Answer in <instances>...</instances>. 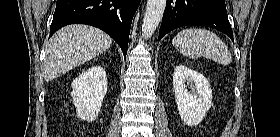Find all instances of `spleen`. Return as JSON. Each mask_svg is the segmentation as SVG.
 <instances>
[{
  "instance_id": "1",
  "label": "spleen",
  "mask_w": 280,
  "mask_h": 137,
  "mask_svg": "<svg viewBox=\"0 0 280 137\" xmlns=\"http://www.w3.org/2000/svg\"><path fill=\"white\" fill-rule=\"evenodd\" d=\"M172 44L182 55L192 59L204 56L223 65L232 62L231 53L225 43L207 29H184L175 36Z\"/></svg>"
}]
</instances>
